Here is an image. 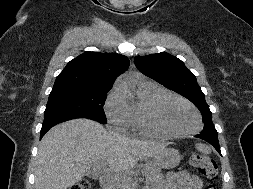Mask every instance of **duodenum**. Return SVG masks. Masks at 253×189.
Returning <instances> with one entry per match:
<instances>
[{"instance_id":"410a0bca","label":"duodenum","mask_w":253,"mask_h":189,"mask_svg":"<svg viewBox=\"0 0 253 189\" xmlns=\"http://www.w3.org/2000/svg\"><path fill=\"white\" fill-rule=\"evenodd\" d=\"M100 184L102 189H111L113 185V176L110 173H106L101 177Z\"/></svg>"}]
</instances>
